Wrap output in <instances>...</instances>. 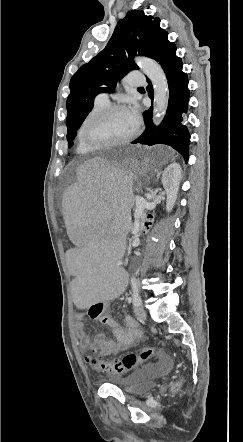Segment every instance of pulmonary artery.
<instances>
[{"label":"pulmonary artery","mask_w":243,"mask_h":442,"mask_svg":"<svg viewBox=\"0 0 243 442\" xmlns=\"http://www.w3.org/2000/svg\"><path fill=\"white\" fill-rule=\"evenodd\" d=\"M145 83L144 79L140 78V75L137 73H131L128 75L127 84L130 86H140ZM96 100L103 103H109V98L106 93H100L96 96Z\"/></svg>","instance_id":"obj_1"}]
</instances>
